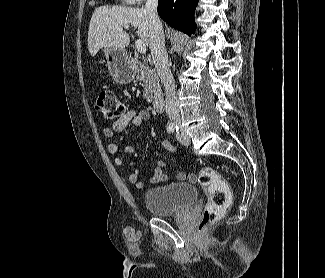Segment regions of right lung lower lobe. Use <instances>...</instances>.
Returning a JSON list of instances; mask_svg holds the SVG:
<instances>
[{"instance_id": "98d812e1", "label": "right lung lower lobe", "mask_w": 325, "mask_h": 278, "mask_svg": "<svg viewBox=\"0 0 325 278\" xmlns=\"http://www.w3.org/2000/svg\"><path fill=\"white\" fill-rule=\"evenodd\" d=\"M198 0H159L158 14L170 26L186 33L195 32L194 11Z\"/></svg>"}]
</instances>
